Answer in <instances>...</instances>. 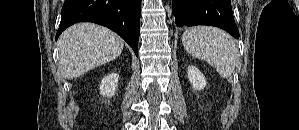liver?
Wrapping results in <instances>:
<instances>
[{
	"instance_id": "1",
	"label": "liver",
	"mask_w": 299,
	"mask_h": 130,
	"mask_svg": "<svg viewBox=\"0 0 299 130\" xmlns=\"http://www.w3.org/2000/svg\"><path fill=\"white\" fill-rule=\"evenodd\" d=\"M59 68L65 79H75L117 58L124 40L108 28L78 23L59 38Z\"/></svg>"
}]
</instances>
